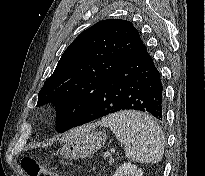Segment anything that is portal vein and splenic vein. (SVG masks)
I'll return each instance as SVG.
<instances>
[{"instance_id":"18ae733b","label":"portal vein and splenic vein","mask_w":205,"mask_h":176,"mask_svg":"<svg viewBox=\"0 0 205 176\" xmlns=\"http://www.w3.org/2000/svg\"><path fill=\"white\" fill-rule=\"evenodd\" d=\"M110 152H115V149H114V148H111V149H110ZM105 156H108V153H105Z\"/></svg>"}]
</instances>
